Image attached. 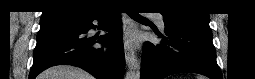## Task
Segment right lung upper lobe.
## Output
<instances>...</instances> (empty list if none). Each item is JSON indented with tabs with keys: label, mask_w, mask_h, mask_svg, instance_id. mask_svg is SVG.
Instances as JSON below:
<instances>
[{
	"label": "right lung upper lobe",
	"mask_w": 255,
	"mask_h": 79,
	"mask_svg": "<svg viewBox=\"0 0 255 79\" xmlns=\"http://www.w3.org/2000/svg\"><path fill=\"white\" fill-rule=\"evenodd\" d=\"M99 10L101 9L97 5L84 0H50L47 2L41 18L61 13H70L80 18L92 15Z\"/></svg>",
	"instance_id": "cb5924a9"
}]
</instances>
